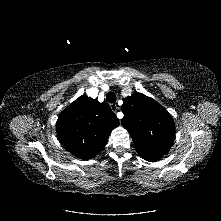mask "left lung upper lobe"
Returning a JSON list of instances; mask_svg holds the SVG:
<instances>
[{"label":"left lung upper lobe","mask_w":221,"mask_h":221,"mask_svg":"<svg viewBox=\"0 0 221 221\" xmlns=\"http://www.w3.org/2000/svg\"><path fill=\"white\" fill-rule=\"evenodd\" d=\"M122 125L129 132L137 152L147 161L155 162L171 148L175 124L169 112L142 93H133L121 106Z\"/></svg>","instance_id":"obj_1"}]
</instances>
